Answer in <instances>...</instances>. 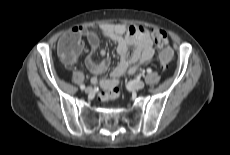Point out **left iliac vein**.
<instances>
[{
	"instance_id": "obj_1",
	"label": "left iliac vein",
	"mask_w": 230,
	"mask_h": 155,
	"mask_svg": "<svg viewBox=\"0 0 230 155\" xmlns=\"http://www.w3.org/2000/svg\"><path fill=\"white\" fill-rule=\"evenodd\" d=\"M144 87H145V83L140 80H133V81L128 82L127 84V88L129 90H141Z\"/></svg>"
}]
</instances>
